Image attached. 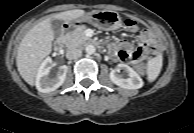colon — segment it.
Masks as SVG:
<instances>
[{
	"instance_id": "1",
	"label": "colon",
	"mask_w": 194,
	"mask_h": 133,
	"mask_svg": "<svg viewBox=\"0 0 194 133\" xmlns=\"http://www.w3.org/2000/svg\"><path fill=\"white\" fill-rule=\"evenodd\" d=\"M125 25L131 31H136L138 29V24L133 19H127L125 21ZM138 71L143 75H149L151 73V68L149 66L141 67L140 65H138Z\"/></svg>"
}]
</instances>
